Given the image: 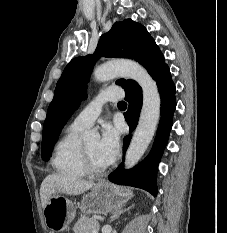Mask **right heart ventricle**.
Instances as JSON below:
<instances>
[{"mask_svg":"<svg viewBox=\"0 0 227 233\" xmlns=\"http://www.w3.org/2000/svg\"><path fill=\"white\" fill-rule=\"evenodd\" d=\"M82 130L70 125L55 145L51 164L63 177L77 179L87 174L81 158L80 133Z\"/></svg>","mask_w":227,"mask_h":233,"instance_id":"obj_1","label":"right heart ventricle"}]
</instances>
